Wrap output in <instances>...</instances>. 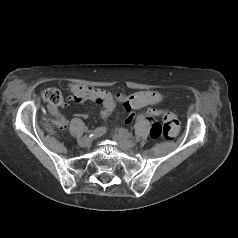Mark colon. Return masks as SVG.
<instances>
[{
	"label": "colon",
	"instance_id": "obj_1",
	"mask_svg": "<svg viewBox=\"0 0 238 238\" xmlns=\"http://www.w3.org/2000/svg\"><path fill=\"white\" fill-rule=\"evenodd\" d=\"M43 99L51 104L54 107L60 106L63 102V96L61 92L57 88H47L42 92ZM144 116L147 119H156L161 120L164 117L163 123L158 124L154 123L151 131L150 136L154 139L159 137H164L166 139L174 138L179 130V122L177 118L170 114L164 112L161 109H154V108H147L144 111Z\"/></svg>",
	"mask_w": 238,
	"mask_h": 238
}]
</instances>
